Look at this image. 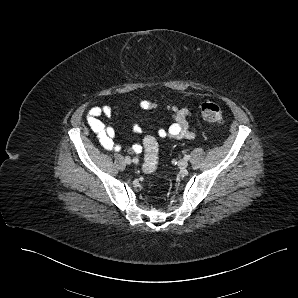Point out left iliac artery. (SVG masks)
I'll return each mask as SVG.
<instances>
[{
	"label": "left iliac artery",
	"instance_id": "44dca946",
	"mask_svg": "<svg viewBox=\"0 0 298 298\" xmlns=\"http://www.w3.org/2000/svg\"><path fill=\"white\" fill-rule=\"evenodd\" d=\"M184 159H185V160H189V159H190V155H185V156H184Z\"/></svg>",
	"mask_w": 298,
	"mask_h": 298
}]
</instances>
